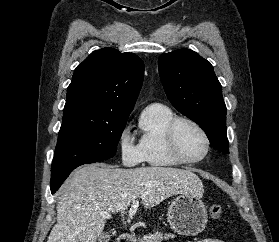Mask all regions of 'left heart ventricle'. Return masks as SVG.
<instances>
[{
    "mask_svg": "<svg viewBox=\"0 0 279 242\" xmlns=\"http://www.w3.org/2000/svg\"><path fill=\"white\" fill-rule=\"evenodd\" d=\"M176 136L178 146L186 157L198 158L205 152V141L193 126L186 123L180 124Z\"/></svg>",
    "mask_w": 279,
    "mask_h": 242,
    "instance_id": "obj_1",
    "label": "left heart ventricle"
}]
</instances>
